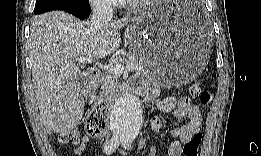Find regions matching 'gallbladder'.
Masks as SVG:
<instances>
[{
  "label": "gallbladder",
  "mask_w": 261,
  "mask_h": 156,
  "mask_svg": "<svg viewBox=\"0 0 261 156\" xmlns=\"http://www.w3.org/2000/svg\"><path fill=\"white\" fill-rule=\"evenodd\" d=\"M74 83H79L78 80H73ZM66 86L72 88H65L68 90H61L58 94L57 103L53 104L52 113H50L51 127H54L57 132H66L74 129L83 118L84 113V99L83 91L79 86L73 83Z\"/></svg>",
  "instance_id": "1"
}]
</instances>
